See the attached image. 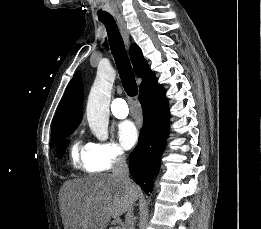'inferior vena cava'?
Wrapping results in <instances>:
<instances>
[{"label": "inferior vena cava", "mask_w": 261, "mask_h": 229, "mask_svg": "<svg viewBox=\"0 0 261 229\" xmlns=\"http://www.w3.org/2000/svg\"><path fill=\"white\" fill-rule=\"evenodd\" d=\"M112 177H117V179H120L121 183L125 185V187H133L130 179H129V169L127 167L126 159L124 155H118L117 159H114L113 161V167H112ZM133 205L132 203L131 207H129L126 215V229H135L134 225L136 223L134 213H133Z\"/></svg>", "instance_id": "inferior-vena-cava-1"}]
</instances>
